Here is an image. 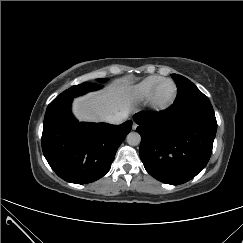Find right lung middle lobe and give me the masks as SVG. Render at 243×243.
I'll return each mask as SVG.
<instances>
[{"mask_svg":"<svg viewBox=\"0 0 243 243\" xmlns=\"http://www.w3.org/2000/svg\"><path fill=\"white\" fill-rule=\"evenodd\" d=\"M108 79L103 78V79H98L99 82H106Z\"/></svg>","mask_w":243,"mask_h":243,"instance_id":"obj_1","label":"right lung middle lobe"}]
</instances>
